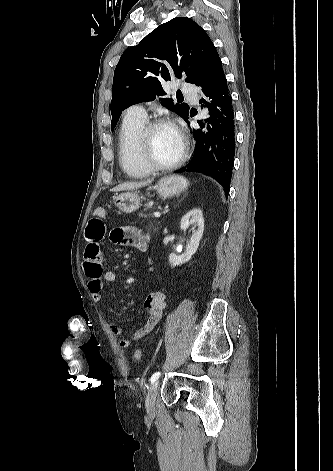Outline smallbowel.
<instances>
[{"instance_id":"small-bowel-1","label":"small bowel","mask_w":333,"mask_h":471,"mask_svg":"<svg viewBox=\"0 0 333 471\" xmlns=\"http://www.w3.org/2000/svg\"><path fill=\"white\" fill-rule=\"evenodd\" d=\"M103 217L93 216L86 225L85 239L86 247L84 251L83 269L89 278L88 288L92 298L100 302L103 298L102 289L104 282L112 283L117 279L114 271H103V258L100 249V242L105 238L107 229ZM109 239L112 243L118 245L131 246L142 249L146 243L145 235L135 227L122 226L114 228L109 233ZM168 296L164 292L151 293L144 302L147 311L146 319L143 325L137 329L132 336H123L122 328L111 323L110 331L117 336H122L119 345L122 348H128L135 340H139L148 335L160 322L164 310L167 308Z\"/></svg>"}]
</instances>
